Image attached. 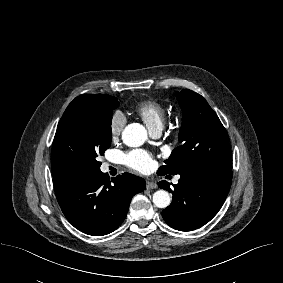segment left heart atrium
Listing matches in <instances>:
<instances>
[{"mask_svg":"<svg viewBox=\"0 0 283 283\" xmlns=\"http://www.w3.org/2000/svg\"><path fill=\"white\" fill-rule=\"evenodd\" d=\"M125 164L138 172L147 173L155 166L152 155L145 150H132L124 156Z\"/></svg>","mask_w":283,"mask_h":283,"instance_id":"39dd6f15","label":"left heart atrium"}]
</instances>
